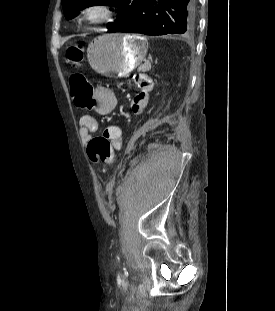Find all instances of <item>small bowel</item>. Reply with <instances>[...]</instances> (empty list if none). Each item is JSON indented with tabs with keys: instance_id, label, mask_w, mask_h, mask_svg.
Masks as SVG:
<instances>
[{
	"instance_id": "small-bowel-1",
	"label": "small bowel",
	"mask_w": 275,
	"mask_h": 311,
	"mask_svg": "<svg viewBox=\"0 0 275 311\" xmlns=\"http://www.w3.org/2000/svg\"><path fill=\"white\" fill-rule=\"evenodd\" d=\"M135 78L137 86L133 93V102L130 107L131 112L140 114L145 108H149L150 103L147 101L146 93H153L156 86L155 80H149V73H136ZM142 99V101H140ZM117 98L114 93L107 87L99 86L95 91V99L92 105H86V112H96L100 115H107L113 112L117 107ZM98 123L90 115H83L79 120V133L84 142L90 140L91 136L98 131ZM103 135L110 138L116 149L122 146L123 131L119 125L108 124L103 130Z\"/></svg>"
}]
</instances>
